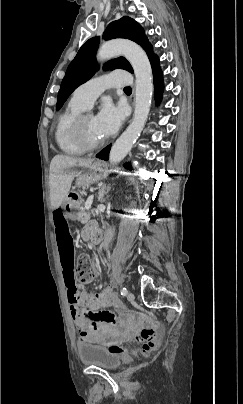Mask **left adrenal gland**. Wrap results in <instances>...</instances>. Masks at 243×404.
I'll return each mask as SVG.
<instances>
[{
    "label": "left adrenal gland",
    "mask_w": 243,
    "mask_h": 404,
    "mask_svg": "<svg viewBox=\"0 0 243 404\" xmlns=\"http://www.w3.org/2000/svg\"><path fill=\"white\" fill-rule=\"evenodd\" d=\"M111 188H110V184H104V186H101L100 190H99V202H104V196L105 194H108V192H110Z\"/></svg>",
    "instance_id": "obj_1"
}]
</instances>
